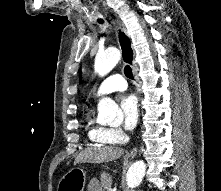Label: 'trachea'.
I'll use <instances>...</instances> for the list:
<instances>
[{
	"instance_id": "trachea-1",
	"label": "trachea",
	"mask_w": 221,
	"mask_h": 191,
	"mask_svg": "<svg viewBox=\"0 0 221 191\" xmlns=\"http://www.w3.org/2000/svg\"><path fill=\"white\" fill-rule=\"evenodd\" d=\"M99 23H104L103 20H98ZM124 74L126 75V77H128L129 79H133V74H132V70L130 68V66H126L124 68Z\"/></svg>"
}]
</instances>
